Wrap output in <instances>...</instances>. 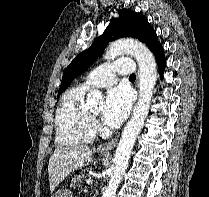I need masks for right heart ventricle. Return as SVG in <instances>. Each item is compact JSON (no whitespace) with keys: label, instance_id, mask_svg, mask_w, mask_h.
<instances>
[{"label":"right heart ventricle","instance_id":"right-heart-ventricle-1","mask_svg":"<svg viewBox=\"0 0 209 197\" xmlns=\"http://www.w3.org/2000/svg\"><path fill=\"white\" fill-rule=\"evenodd\" d=\"M87 88L82 85L69 89L56 112V142L63 146H76L94 139L90 112L84 106Z\"/></svg>","mask_w":209,"mask_h":197}]
</instances>
